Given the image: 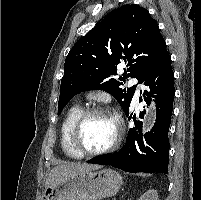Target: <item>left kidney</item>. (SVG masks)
I'll use <instances>...</instances> for the list:
<instances>
[{"label": "left kidney", "instance_id": "1", "mask_svg": "<svg viewBox=\"0 0 201 200\" xmlns=\"http://www.w3.org/2000/svg\"><path fill=\"white\" fill-rule=\"evenodd\" d=\"M138 200H158V193L154 189L145 192Z\"/></svg>", "mask_w": 201, "mask_h": 200}]
</instances>
